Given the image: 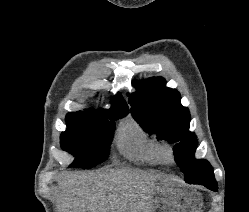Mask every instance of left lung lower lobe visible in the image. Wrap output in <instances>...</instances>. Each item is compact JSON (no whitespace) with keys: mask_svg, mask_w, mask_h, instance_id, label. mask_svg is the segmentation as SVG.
Instances as JSON below:
<instances>
[{"mask_svg":"<svg viewBox=\"0 0 249 212\" xmlns=\"http://www.w3.org/2000/svg\"><path fill=\"white\" fill-rule=\"evenodd\" d=\"M202 185H204L205 187H207L208 189H210L212 191H217V189H218V185H217L216 180L211 181L209 183H203Z\"/></svg>","mask_w":249,"mask_h":212,"instance_id":"0a47b994","label":"left lung lower lobe"}]
</instances>
